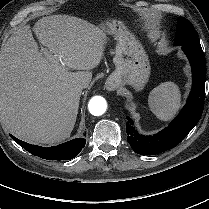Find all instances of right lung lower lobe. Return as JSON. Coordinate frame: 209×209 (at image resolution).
I'll return each instance as SVG.
<instances>
[{
	"mask_svg": "<svg viewBox=\"0 0 209 209\" xmlns=\"http://www.w3.org/2000/svg\"><path fill=\"white\" fill-rule=\"evenodd\" d=\"M10 136L25 150L46 160H70L78 155L86 144V140L84 138H76L57 146L45 148L23 142L12 135Z\"/></svg>",
	"mask_w": 209,
	"mask_h": 209,
	"instance_id": "98d812e1",
	"label": "right lung lower lobe"
}]
</instances>
